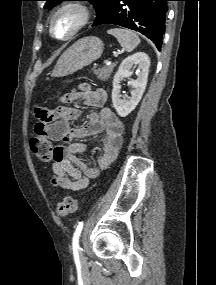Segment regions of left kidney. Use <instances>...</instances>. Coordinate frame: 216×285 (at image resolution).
Listing matches in <instances>:
<instances>
[{
	"mask_svg": "<svg viewBox=\"0 0 216 285\" xmlns=\"http://www.w3.org/2000/svg\"><path fill=\"white\" fill-rule=\"evenodd\" d=\"M136 65H138V68L141 71L137 74L138 78L136 80L128 82V85L132 87L131 97L121 99L120 82L124 78H129L131 76V69ZM149 67V56L143 52H138L127 57L120 64L113 79L112 90L113 106L120 117L129 115L140 102L147 85Z\"/></svg>",
	"mask_w": 216,
	"mask_h": 285,
	"instance_id": "5707ae66",
	"label": "left kidney"
}]
</instances>
